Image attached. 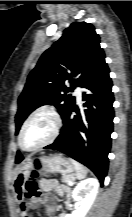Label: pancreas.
<instances>
[{"label":"pancreas","mask_w":132,"mask_h":217,"mask_svg":"<svg viewBox=\"0 0 132 217\" xmlns=\"http://www.w3.org/2000/svg\"><path fill=\"white\" fill-rule=\"evenodd\" d=\"M75 177L74 175H63L62 176V182L69 184L70 182H74Z\"/></svg>","instance_id":"cf45deb5"}]
</instances>
